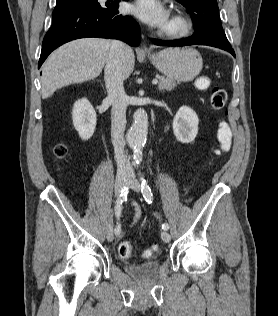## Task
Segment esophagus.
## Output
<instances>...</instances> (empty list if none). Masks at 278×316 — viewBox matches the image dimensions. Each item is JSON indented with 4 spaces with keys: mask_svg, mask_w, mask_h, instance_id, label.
Listing matches in <instances>:
<instances>
[{
    "mask_svg": "<svg viewBox=\"0 0 278 316\" xmlns=\"http://www.w3.org/2000/svg\"><path fill=\"white\" fill-rule=\"evenodd\" d=\"M141 51L147 54L150 53V49L145 44L141 46Z\"/></svg>",
    "mask_w": 278,
    "mask_h": 316,
    "instance_id": "1",
    "label": "esophagus"
}]
</instances>
